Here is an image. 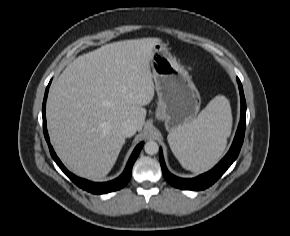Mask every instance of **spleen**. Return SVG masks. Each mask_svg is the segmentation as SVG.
Wrapping results in <instances>:
<instances>
[{"label": "spleen", "mask_w": 290, "mask_h": 236, "mask_svg": "<svg viewBox=\"0 0 290 236\" xmlns=\"http://www.w3.org/2000/svg\"><path fill=\"white\" fill-rule=\"evenodd\" d=\"M232 128L230 103L218 95L191 123L168 134L170 148L186 170L201 173L222 156Z\"/></svg>", "instance_id": "3e777b00"}]
</instances>
